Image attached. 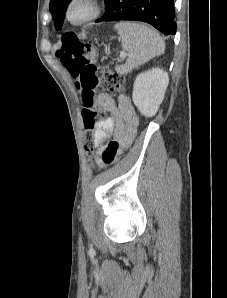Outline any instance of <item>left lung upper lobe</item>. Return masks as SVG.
<instances>
[{
  "instance_id": "left-lung-upper-lobe-1",
  "label": "left lung upper lobe",
  "mask_w": 227,
  "mask_h": 298,
  "mask_svg": "<svg viewBox=\"0 0 227 298\" xmlns=\"http://www.w3.org/2000/svg\"><path fill=\"white\" fill-rule=\"evenodd\" d=\"M71 1L72 0H50L49 11L52 14L56 30L61 29L66 9ZM108 1L109 0H105V3L107 4Z\"/></svg>"
}]
</instances>
